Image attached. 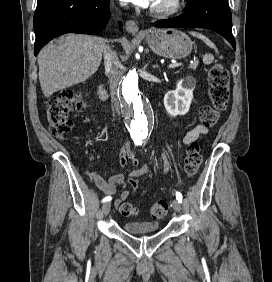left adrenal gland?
I'll return each instance as SVG.
<instances>
[{"instance_id":"a2214340","label":"left adrenal gland","mask_w":272,"mask_h":282,"mask_svg":"<svg viewBox=\"0 0 272 282\" xmlns=\"http://www.w3.org/2000/svg\"><path fill=\"white\" fill-rule=\"evenodd\" d=\"M153 67H154V68H157V67H158V65H153Z\"/></svg>"}]
</instances>
